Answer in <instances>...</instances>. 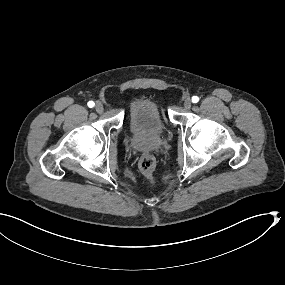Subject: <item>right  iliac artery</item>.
I'll return each mask as SVG.
<instances>
[{"label":"right iliac artery","mask_w":285,"mask_h":285,"mask_svg":"<svg viewBox=\"0 0 285 285\" xmlns=\"http://www.w3.org/2000/svg\"><path fill=\"white\" fill-rule=\"evenodd\" d=\"M88 106H89L90 108H93V107L95 106V103H94L93 101H89V102H88Z\"/></svg>","instance_id":"obj_1"}]
</instances>
